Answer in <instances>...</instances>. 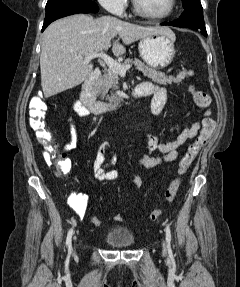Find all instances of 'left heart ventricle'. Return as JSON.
Segmentation results:
<instances>
[{
  "instance_id": "obj_1",
  "label": "left heart ventricle",
  "mask_w": 240,
  "mask_h": 287,
  "mask_svg": "<svg viewBox=\"0 0 240 287\" xmlns=\"http://www.w3.org/2000/svg\"><path fill=\"white\" fill-rule=\"evenodd\" d=\"M140 6L153 13L162 14L169 8L170 0H138Z\"/></svg>"
}]
</instances>
